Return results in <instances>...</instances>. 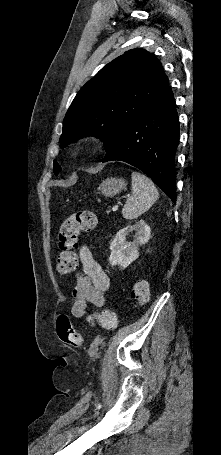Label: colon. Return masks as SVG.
Listing matches in <instances>:
<instances>
[{
    "instance_id": "1",
    "label": "colon",
    "mask_w": 221,
    "mask_h": 455,
    "mask_svg": "<svg viewBox=\"0 0 221 455\" xmlns=\"http://www.w3.org/2000/svg\"><path fill=\"white\" fill-rule=\"evenodd\" d=\"M97 224L96 215L92 211H79L66 218L60 228L59 246L61 252L57 258V270L61 274L73 272L78 264V239L82 232H89ZM131 298L134 306L146 304L150 299L148 283L144 280L137 281L131 289ZM90 323L97 322L103 328L113 329L117 325L116 314L111 310H103L88 316ZM57 333L66 344L78 346L82 337L78 334L67 315H60L57 319Z\"/></svg>"
}]
</instances>
